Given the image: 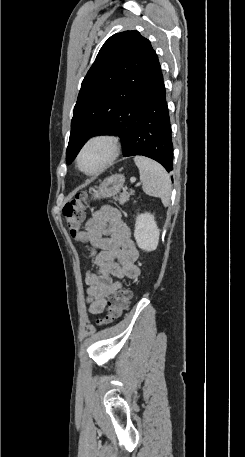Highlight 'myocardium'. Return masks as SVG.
I'll use <instances>...</instances> for the list:
<instances>
[{
    "instance_id": "1",
    "label": "myocardium",
    "mask_w": 245,
    "mask_h": 457,
    "mask_svg": "<svg viewBox=\"0 0 245 457\" xmlns=\"http://www.w3.org/2000/svg\"><path fill=\"white\" fill-rule=\"evenodd\" d=\"M119 142L118 140L109 135H97L94 137L89 138L85 143L81 151L77 156V166L83 173L87 175H97L109 167L119 152ZM100 148L105 151L106 157L103 163L95 170L88 171L83 168L82 166V159L84 155L91 149Z\"/></svg>"
}]
</instances>
